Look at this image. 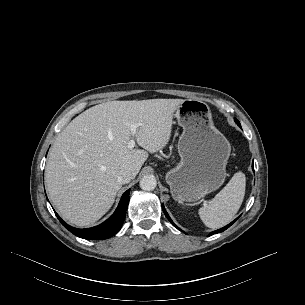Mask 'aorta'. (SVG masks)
Instances as JSON below:
<instances>
[{
  "label": "aorta",
  "instance_id": "aorta-1",
  "mask_svg": "<svg viewBox=\"0 0 305 305\" xmlns=\"http://www.w3.org/2000/svg\"><path fill=\"white\" fill-rule=\"evenodd\" d=\"M140 188L145 191H152L157 186L156 178L153 175H145L140 179Z\"/></svg>",
  "mask_w": 305,
  "mask_h": 305
}]
</instances>
